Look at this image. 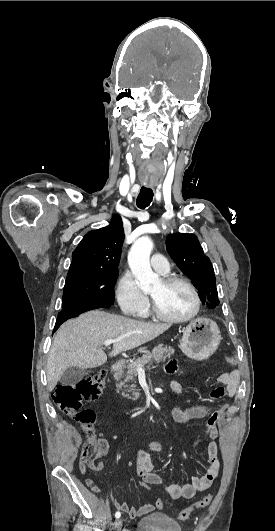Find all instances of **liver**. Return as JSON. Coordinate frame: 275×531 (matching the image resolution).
<instances>
[{
  "label": "liver",
  "mask_w": 275,
  "mask_h": 531,
  "mask_svg": "<svg viewBox=\"0 0 275 531\" xmlns=\"http://www.w3.org/2000/svg\"><path fill=\"white\" fill-rule=\"evenodd\" d=\"M169 327L164 323L133 321L99 309L66 321L56 333L47 359L48 391L55 389L69 367L94 369L104 365L107 361V355L102 351L104 341L120 339L113 343V351L110 353V357H116L123 351H130L153 341Z\"/></svg>",
  "instance_id": "obj_1"
}]
</instances>
